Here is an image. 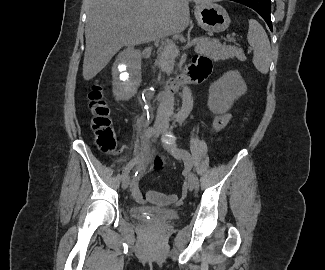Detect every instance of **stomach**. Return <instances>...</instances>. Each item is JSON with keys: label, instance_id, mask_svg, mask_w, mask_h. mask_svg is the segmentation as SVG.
I'll return each mask as SVG.
<instances>
[{"label": "stomach", "instance_id": "0dacf381", "mask_svg": "<svg viewBox=\"0 0 325 270\" xmlns=\"http://www.w3.org/2000/svg\"><path fill=\"white\" fill-rule=\"evenodd\" d=\"M198 25L211 32H221L228 28L230 18L226 10L214 3L198 4L195 9Z\"/></svg>", "mask_w": 325, "mask_h": 270}]
</instances>
